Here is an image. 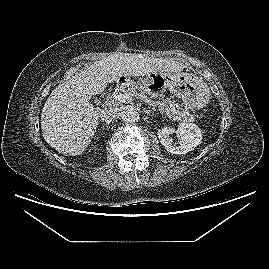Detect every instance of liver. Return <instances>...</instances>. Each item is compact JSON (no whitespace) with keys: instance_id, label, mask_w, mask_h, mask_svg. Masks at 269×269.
Here are the masks:
<instances>
[{"instance_id":"6515ba94","label":"liver","mask_w":269,"mask_h":269,"mask_svg":"<svg viewBox=\"0 0 269 269\" xmlns=\"http://www.w3.org/2000/svg\"><path fill=\"white\" fill-rule=\"evenodd\" d=\"M185 67L178 61L143 54L117 53L103 58L51 92L41 113L44 139L61 154L80 155L95 135L101 115V110L89 102L93 95L121 76L175 73Z\"/></svg>"}]
</instances>
